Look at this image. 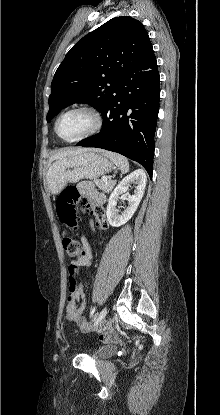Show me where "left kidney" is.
<instances>
[{
	"label": "left kidney",
	"instance_id": "1",
	"mask_svg": "<svg viewBox=\"0 0 220 415\" xmlns=\"http://www.w3.org/2000/svg\"><path fill=\"white\" fill-rule=\"evenodd\" d=\"M146 182L147 177L145 172L142 169H137L123 178L122 181L117 185L109 197L106 211L107 220L111 226H122L131 219L143 197ZM131 183L137 184L133 195H129L127 192ZM120 195H123L124 198L128 201V206L124 208V211L121 214H119L118 210L116 209V204Z\"/></svg>",
	"mask_w": 220,
	"mask_h": 415
}]
</instances>
